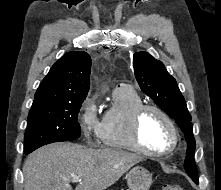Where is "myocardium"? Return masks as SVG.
Masks as SVG:
<instances>
[{
  "label": "myocardium",
  "instance_id": "obj_1",
  "mask_svg": "<svg viewBox=\"0 0 221 190\" xmlns=\"http://www.w3.org/2000/svg\"><path fill=\"white\" fill-rule=\"evenodd\" d=\"M148 111L156 112L168 124L172 133L173 140L172 144L167 149L160 151L150 149L141 140L140 137L141 120L144 114ZM130 137L134 146L138 149L139 152L154 157H162L167 154H170L177 148L180 141L178 129L172 118L162 108L152 104H142L134 110L130 120Z\"/></svg>",
  "mask_w": 221,
  "mask_h": 190
}]
</instances>
